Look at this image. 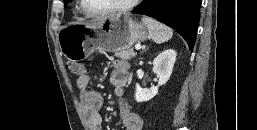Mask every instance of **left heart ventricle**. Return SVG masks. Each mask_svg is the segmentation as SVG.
<instances>
[{
	"label": "left heart ventricle",
	"mask_w": 257,
	"mask_h": 130,
	"mask_svg": "<svg viewBox=\"0 0 257 130\" xmlns=\"http://www.w3.org/2000/svg\"><path fill=\"white\" fill-rule=\"evenodd\" d=\"M129 0H86L88 8L95 12H101L122 5Z\"/></svg>",
	"instance_id": "left-heart-ventricle-1"
}]
</instances>
